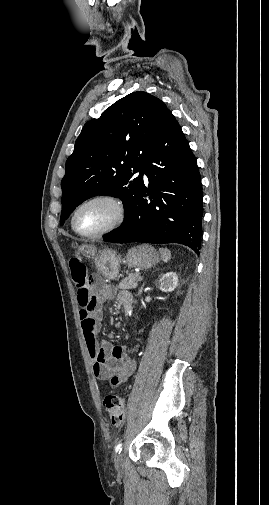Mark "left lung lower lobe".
<instances>
[{
    "label": "left lung lower lobe",
    "instance_id": "obj_1",
    "mask_svg": "<svg viewBox=\"0 0 269 505\" xmlns=\"http://www.w3.org/2000/svg\"><path fill=\"white\" fill-rule=\"evenodd\" d=\"M143 173L149 179L148 188ZM202 216L203 194L197 161L169 111L150 139L129 219L104 236V240L180 243L199 254Z\"/></svg>",
    "mask_w": 269,
    "mask_h": 505
}]
</instances>
